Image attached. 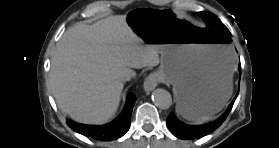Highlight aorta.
Listing matches in <instances>:
<instances>
[{
  "label": "aorta",
  "instance_id": "1",
  "mask_svg": "<svg viewBox=\"0 0 279 148\" xmlns=\"http://www.w3.org/2000/svg\"><path fill=\"white\" fill-rule=\"evenodd\" d=\"M152 100L154 104L160 109H168L172 105L171 94L165 89H155L152 93Z\"/></svg>",
  "mask_w": 279,
  "mask_h": 148
}]
</instances>
